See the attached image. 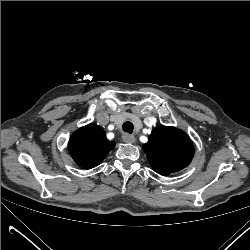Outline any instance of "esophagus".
Returning a JSON list of instances; mask_svg holds the SVG:
<instances>
[{"instance_id": "34e87169", "label": "esophagus", "mask_w": 250, "mask_h": 250, "mask_svg": "<svg viewBox=\"0 0 250 250\" xmlns=\"http://www.w3.org/2000/svg\"><path fill=\"white\" fill-rule=\"evenodd\" d=\"M122 140L125 143H134L135 142V137L133 135L124 134L122 136Z\"/></svg>"}]
</instances>
